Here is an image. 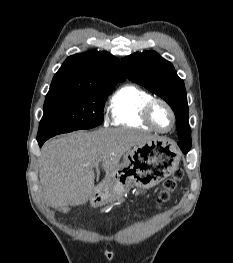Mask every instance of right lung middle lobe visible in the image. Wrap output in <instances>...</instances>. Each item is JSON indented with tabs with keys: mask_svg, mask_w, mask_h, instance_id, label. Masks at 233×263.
Masks as SVG:
<instances>
[{
	"mask_svg": "<svg viewBox=\"0 0 233 263\" xmlns=\"http://www.w3.org/2000/svg\"><path fill=\"white\" fill-rule=\"evenodd\" d=\"M111 88L46 96L37 141L101 124L104 104Z\"/></svg>",
	"mask_w": 233,
	"mask_h": 263,
	"instance_id": "1",
	"label": "right lung middle lobe"
}]
</instances>
